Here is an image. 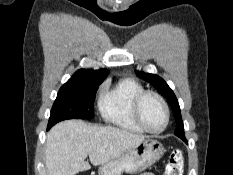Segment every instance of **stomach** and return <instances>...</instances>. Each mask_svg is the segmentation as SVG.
<instances>
[{"instance_id":"obj_1","label":"stomach","mask_w":233,"mask_h":175,"mask_svg":"<svg viewBox=\"0 0 233 175\" xmlns=\"http://www.w3.org/2000/svg\"><path fill=\"white\" fill-rule=\"evenodd\" d=\"M162 144L153 138H148L129 148L120 157L99 167V175L137 174L157 162L164 154Z\"/></svg>"}]
</instances>
